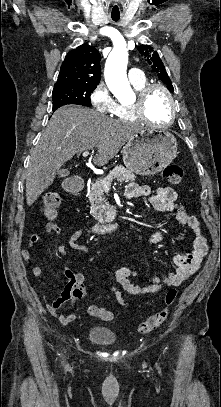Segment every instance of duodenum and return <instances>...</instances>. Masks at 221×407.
Masks as SVG:
<instances>
[{"mask_svg": "<svg viewBox=\"0 0 221 407\" xmlns=\"http://www.w3.org/2000/svg\"><path fill=\"white\" fill-rule=\"evenodd\" d=\"M84 188V183H70L66 186V192L68 194H75L82 191ZM123 228V224L121 222H113V223H106V224H99L94 227V232L98 234H109L118 232Z\"/></svg>", "mask_w": 221, "mask_h": 407, "instance_id": "duodenum-1", "label": "duodenum"}]
</instances>
